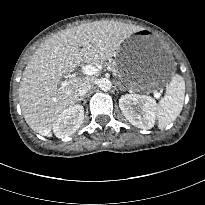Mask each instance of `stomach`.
<instances>
[{
    "mask_svg": "<svg viewBox=\"0 0 205 205\" xmlns=\"http://www.w3.org/2000/svg\"><path fill=\"white\" fill-rule=\"evenodd\" d=\"M120 76L131 89L150 90L162 85L163 71L172 66V58L162 41L146 29L125 39L117 49ZM154 68L153 75L148 69Z\"/></svg>",
    "mask_w": 205,
    "mask_h": 205,
    "instance_id": "stomach-1",
    "label": "stomach"
}]
</instances>
